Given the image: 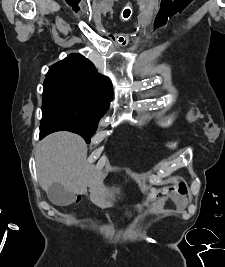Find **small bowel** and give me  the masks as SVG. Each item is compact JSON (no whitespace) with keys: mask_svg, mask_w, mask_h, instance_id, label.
<instances>
[{"mask_svg":"<svg viewBox=\"0 0 225 267\" xmlns=\"http://www.w3.org/2000/svg\"><path fill=\"white\" fill-rule=\"evenodd\" d=\"M168 200H171L174 203V205L176 206V208L179 210L184 209L187 205L186 194L174 193V194H171L169 196L161 198L156 204V209L157 210L162 209Z\"/></svg>","mask_w":225,"mask_h":267,"instance_id":"obj_1","label":"small bowel"}]
</instances>
